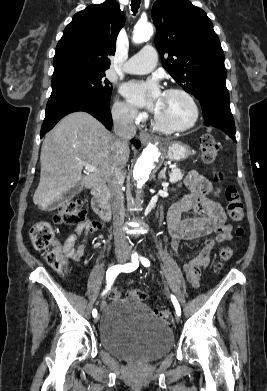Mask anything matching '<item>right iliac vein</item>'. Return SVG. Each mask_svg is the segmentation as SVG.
Returning <instances> with one entry per match:
<instances>
[{
    "label": "right iliac vein",
    "mask_w": 267,
    "mask_h": 391,
    "mask_svg": "<svg viewBox=\"0 0 267 391\" xmlns=\"http://www.w3.org/2000/svg\"><path fill=\"white\" fill-rule=\"evenodd\" d=\"M117 259L120 264H123L126 261L127 257L125 255H119ZM99 318V316H96L94 322L97 323L99 321Z\"/></svg>",
    "instance_id": "1"
}]
</instances>
